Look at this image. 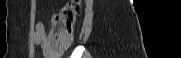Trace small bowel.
Listing matches in <instances>:
<instances>
[{"label": "small bowel", "instance_id": "small-bowel-1", "mask_svg": "<svg viewBox=\"0 0 181 58\" xmlns=\"http://www.w3.org/2000/svg\"><path fill=\"white\" fill-rule=\"evenodd\" d=\"M46 30H45V25L43 22L39 21L36 24L35 27V37L34 40L36 43H41L43 46H45V41H46Z\"/></svg>", "mask_w": 181, "mask_h": 58}]
</instances>
